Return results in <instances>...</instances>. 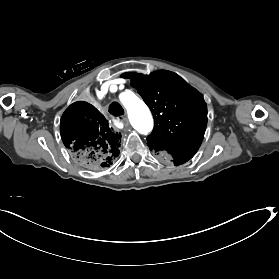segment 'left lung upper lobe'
Returning <instances> with one entry per match:
<instances>
[{
  "label": "left lung upper lobe",
  "mask_w": 279,
  "mask_h": 279,
  "mask_svg": "<svg viewBox=\"0 0 279 279\" xmlns=\"http://www.w3.org/2000/svg\"><path fill=\"white\" fill-rule=\"evenodd\" d=\"M155 118L147 145L158 154H195L204 137L207 107L202 95L177 74L159 70L149 75L126 72Z\"/></svg>",
  "instance_id": "left-lung-upper-lobe-1"
}]
</instances>
